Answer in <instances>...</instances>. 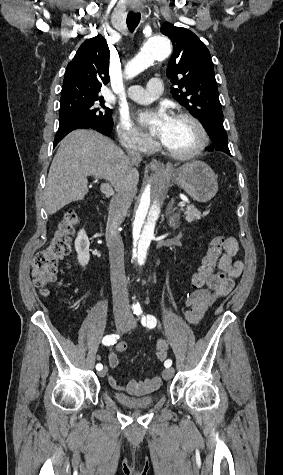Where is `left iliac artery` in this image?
I'll return each instance as SVG.
<instances>
[{
    "label": "left iliac artery",
    "mask_w": 283,
    "mask_h": 475,
    "mask_svg": "<svg viewBox=\"0 0 283 475\" xmlns=\"http://www.w3.org/2000/svg\"><path fill=\"white\" fill-rule=\"evenodd\" d=\"M135 314L139 316V315L142 314V311L137 310V311H135ZM141 323H142L143 326H147L148 328H154L156 326L157 320L151 314H148L146 316L141 315ZM171 365H172V360H170V359L166 360L165 363H164V366L166 368H169Z\"/></svg>",
    "instance_id": "1"
}]
</instances>
